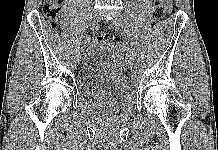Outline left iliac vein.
I'll return each mask as SVG.
<instances>
[{
    "label": "left iliac vein",
    "mask_w": 218,
    "mask_h": 150,
    "mask_svg": "<svg viewBox=\"0 0 218 150\" xmlns=\"http://www.w3.org/2000/svg\"><path fill=\"white\" fill-rule=\"evenodd\" d=\"M110 23L119 29L123 28L125 25V21L121 16H118L115 19H112L110 21ZM132 65H133V63H129V65L127 67L130 69L132 67Z\"/></svg>",
    "instance_id": "left-iliac-vein-1"
}]
</instances>
